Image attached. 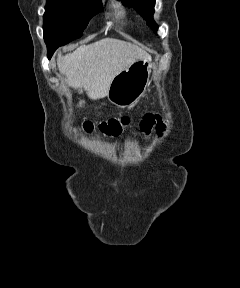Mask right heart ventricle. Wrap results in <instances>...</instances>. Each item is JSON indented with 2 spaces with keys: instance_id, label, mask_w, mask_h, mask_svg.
I'll return each instance as SVG.
<instances>
[{
  "instance_id": "right-heart-ventricle-1",
  "label": "right heart ventricle",
  "mask_w": 240,
  "mask_h": 288,
  "mask_svg": "<svg viewBox=\"0 0 240 288\" xmlns=\"http://www.w3.org/2000/svg\"><path fill=\"white\" fill-rule=\"evenodd\" d=\"M118 14L124 15L125 14V8L122 5L117 6Z\"/></svg>"
}]
</instances>
